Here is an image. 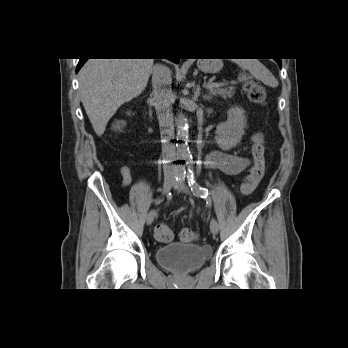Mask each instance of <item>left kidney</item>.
I'll use <instances>...</instances> for the list:
<instances>
[{"mask_svg":"<svg viewBox=\"0 0 348 348\" xmlns=\"http://www.w3.org/2000/svg\"><path fill=\"white\" fill-rule=\"evenodd\" d=\"M227 114V121L220 123L215 132L216 143L224 151H228L240 143L246 127V117L243 109L233 107L228 110Z\"/></svg>","mask_w":348,"mask_h":348,"instance_id":"left-kidney-1","label":"left kidney"}]
</instances>
